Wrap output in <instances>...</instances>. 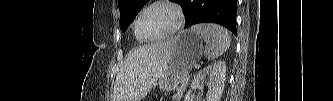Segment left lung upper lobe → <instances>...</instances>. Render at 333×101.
Here are the masks:
<instances>
[{"mask_svg":"<svg viewBox=\"0 0 333 101\" xmlns=\"http://www.w3.org/2000/svg\"><path fill=\"white\" fill-rule=\"evenodd\" d=\"M147 1L148 0H118V7L121 14L120 24L123 32L127 29L128 25L135 19L136 15ZM171 1L179 4L182 0Z\"/></svg>","mask_w":333,"mask_h":101,"instance_id":"5c2ea615","label":"left lung upper lobe"}]
</instances>
